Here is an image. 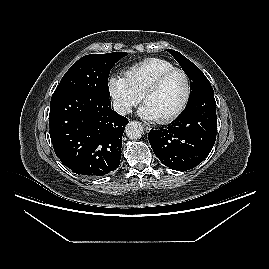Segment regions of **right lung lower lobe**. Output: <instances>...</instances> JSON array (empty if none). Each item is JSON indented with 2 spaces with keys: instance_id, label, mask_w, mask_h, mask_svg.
Listing matches in <instances>:
<instances>
[{
  "instance_id": "obj_1",
  "label": "right lung lower lobe",
  "mask_w": 269,
  "mask_h": 269,
  "mask_svg": "<svg viewBox=\"0 0 269 269\" xmlns=\"http://www.w3.org/2000/svg\"><path fill=\"white\" fill-rule=\"evenodd\" d=\"M127 123L111 109L108 97L80 90L52 95L49 124L55 154L79 175L103 176L119 166Z\"/></svg>"
}]
</instances>
